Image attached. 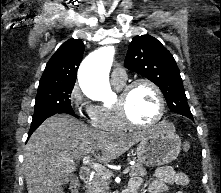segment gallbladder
<instances>
[{
	"mask_svg": "<svg viewBox=\"0 0 221 193\" xmlns=\"http://www.w3.org/2000/svg\"><path fill=\"white\" fill-rule=\"evenodd\" d=\"M72 178V175L70 174L69 176L65 177L63 180V184H67Z\"/></svg>",
	"mask_w": 221,
	"mask_h": 193,
	"instance_id": "obj_1",
	"label": "gallbladder"
}]
</instances>
